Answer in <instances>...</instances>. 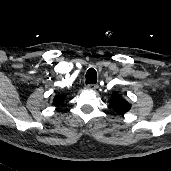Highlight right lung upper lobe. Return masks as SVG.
Listing matches in <instances>:
<instances>
[{
    "mask_svg": "<svg viewBox=\"0 0 171 171\" xmlns=\"http://www.w3.org/2000/svg\"><path fill=\"white\" fill-rule=\"evenodd\" d=\"M65 98H66V95H61V94L60 95H56L54 97V100H53L54 106H56V107L61 106L63 104Z\"/></svg>",
    "mask_w": 171,
    "mask_h": 171,
    "instance_id": "cb5924a9",
    "label": "right lung upper lobe"
}]
</instances>
